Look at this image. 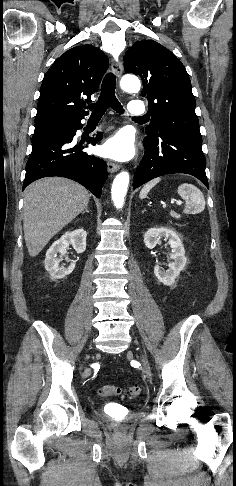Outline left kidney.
Segmentation results:
<instances>
[{"label": "left kidney", "mask_w": 236, "mask_h": 486, "mask_svg": "<svg viewBox=\"0 0 236 486\" xmlns=\"http://www.w3.org/2000/svg\"><path fill=\"white\" fill-rule=\"evenodd\" d=\"M168 239V243L172 248L170 259L172 262L168 265L169 269L163 271L160 266L154 267V275L157 279L166 286H171L175 283V279L184 269L187 258L185 257V249L179 235L172 229L165 227L150 228L144 234V244L148 249H153L160 238Z\"/></svg>", "instance_id": "left-kidney-1"}]
</instances>
